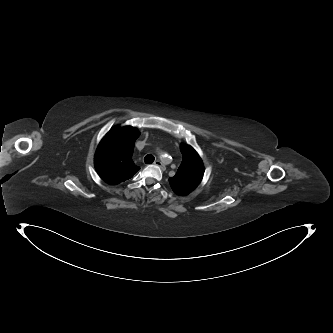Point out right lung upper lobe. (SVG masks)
Instances as JSON below:
<instances>
[{
  "mask_svg": "<svg viewBox=\"0 0 333 333\" xmlns=\"http://www.w3.org/2000/svg\"><path fill=\"white\" fill-rule=\"evenodd\" d=\"M139 131L132 126L113 127L99 143L94 165L101 179L116 185L133 177L140 169L132 161Z\"/></svg>",
  "mask_w": 333,
  "mask_h": 333,
  "instance_id": "right-lung-upper-lobe-1",
  "label": "right lung upper lobe"
}]
</instances>
